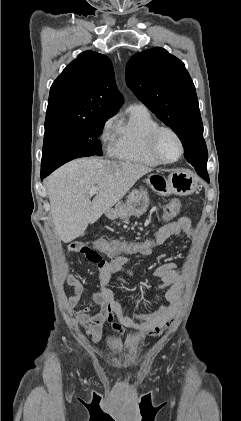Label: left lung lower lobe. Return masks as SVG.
Here are the masks:
<instances>
[{
    "mask_svg": "<svg viewBox=\"0 0 241 421\" xmlns=\"http://www.w3.org/2000/svg\"><path fill=\"white\" fill-rule=\"evenodd\" d=\"M192 166H194V168L196 169V171H197V173L202 177V178H204L206 181H208L209 182V177H208V173H207V170H206V167H204V166H201V165H197V164H194V163H192V161L190 160V161H188Z\"/></svg>",
    "mask_w": 241,
    "mask_h": 421,
    "instance_id": "left-lung-lower-lobe-1",
    "label": "left lung lower lobe"
}]
</instances>
